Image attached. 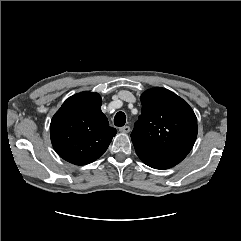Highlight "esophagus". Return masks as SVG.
I'll return each mask as SVG.
<instances>
[{
	"label": "esophagus",
	"mask_w": 241,
	"mask_h": 241,
	"mask_svg": "<svg viewBox=\"0 0 241 241\" xmlns=\"http://www.w3.org/2000/svg\"><path fill=\"white\" fill-rule=\"evenodd\" d=\"M119 131L122 133H129L130 132V127L129 126H123L119 128Z\"/></svg>",
	"instance_id": "obj_1"
}]
</instances>
